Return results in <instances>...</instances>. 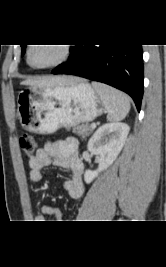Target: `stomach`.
I'll use <instances>...</instances> for the list:
<instances>
[{"mask_svg":"<svg viewBox=\"0 0 166 267\" xmlns=\"http://www.w3.org/2000/svg\"><path fill=\"white\" fill-rule=\"evenodd\" d=\"M103 111L100 96L86 81L65 86H31L18 95L17 116L22 128L38 134H52L62 127L91 122Z\"/></svg>","mask_w":166,"mask_h":267,"instance_id":"stomach-1","label":"stomach"}]
</instances>
